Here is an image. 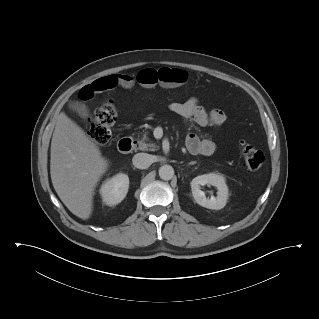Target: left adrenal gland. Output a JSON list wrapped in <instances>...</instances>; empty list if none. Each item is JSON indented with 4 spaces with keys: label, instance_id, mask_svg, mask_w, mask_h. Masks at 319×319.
I'll list each match as a JSON object with an SVG mask.
<instances>
[{
    "label": "left adrenal gland",
    "instance_id": "obj_1",
    "mask_svg": "<svg viewBox=\"0 0 319 319\" xmlns=\"http://www.w3.org/2000/svg\"><path fill=\"white\" fill-rule=\"evenodd\" d=\"M196 162L195 161H192V162H190L188 165H193V164H195Z\"/></svg>",
    "mask_w": 319,
    "mask_h": 319
}]
</instances>
